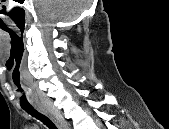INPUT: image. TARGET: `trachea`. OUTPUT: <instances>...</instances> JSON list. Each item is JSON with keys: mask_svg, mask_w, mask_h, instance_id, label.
<instances>
[{"mask_svg": "<svg viewBox=\"0 0 169 129\" xmlns=\"http://www.w3.org/2000/svg\"><path fill=\"white\" fill-rule=\"evenodd\" d=\"M22 108L30 114L32 117L36 118L40 122H42L46 127L49 129H57L56 125L50 120L46 115L39 112L36 108L33 106H22Z\"/></svg>", "mask_w": 169, "mask_h": 129, "instance_id": "trachea-1", "label": "trachea"}]
</instances>
